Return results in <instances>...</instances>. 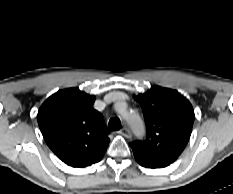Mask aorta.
<instances>
[{"label": "aorta", "instance_id": "obj_1", "mask_svg": "<svg viewBox=\"0 0 233 194\" xmlns=\"http://www.w3.org/2000/svg\"><path fill=\"white\" fill-rule=\"evenodd\" d=\"M123 106V104H121ZM123 116L128 120V122L131 124L132 128L135 131H143V123L142 120L135 114L127 111L122 112Z\"/></svg>", "mask_w": 233, "mask_h": 194}]
</instances>
